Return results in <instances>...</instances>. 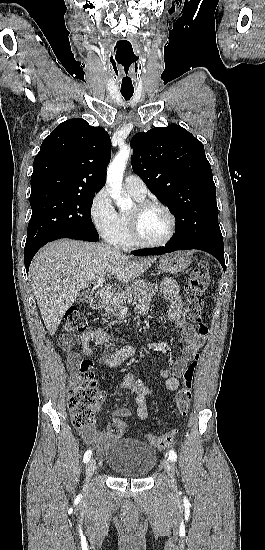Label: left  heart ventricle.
<instances>
[{"label":"left heart ventricle","mask_w":265,"mask_h":550,"mask_svg":"<svg viewBox=\"0 0 265 550\" xmlns=\"http://www.w3.org/2000/svg\"><path fill=\"white\" fill-rule=\"evenodd\" d=\"M169 218L160 209L151 208L145 211L139 219V232L143 240L158 242L169 232Z\"/></svg>","instance_id":"1"}]
</instances>
